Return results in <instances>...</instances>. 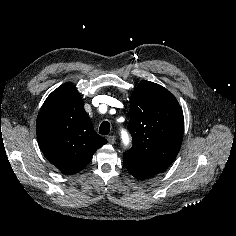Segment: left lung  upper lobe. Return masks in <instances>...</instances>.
I'll list each match as a JSON object with an SVG mask.
<instances>
[{"label": "left lung upper lobe", "mask_w": 236, "mask_h": 236, "mask_svg": "<svg viewBox=\"0 0 236 236\" xmlns=\"http://www.w3.org/2000/svg\"><path fill=\"white\" fill-rule=\"evenodd\" d=\"M129 130L136 157L170 166L184 133V117L177 99L164 87L143 80L132 96Z\"/></svg>", "instance_id": "1"}]
</instances>
